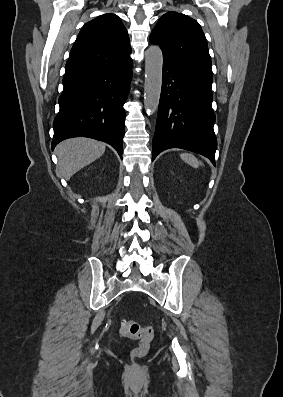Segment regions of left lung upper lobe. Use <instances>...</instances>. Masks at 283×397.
<instances>
[{
	"instance_id": "left-lung-upper-lobe-1",
	"label": "left lung upper lobe",
	"mask_w": 283,
	"mask_h": 397,
	"mask_svg": "<svg viewBox=\"0 0 283 397\" xmlns=\"http://www.w3.org/2000/svg\"><path fill=\"white\" fill-rule=\"evenodd\" d=\"M150 43L160 46L163 60L212 85V64L208 44L196 20L181 13L167 12L152 30Z\"/></svg>"
}]
</instances>
